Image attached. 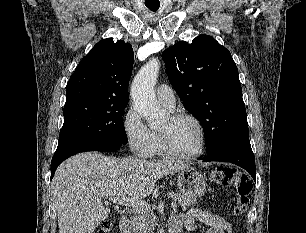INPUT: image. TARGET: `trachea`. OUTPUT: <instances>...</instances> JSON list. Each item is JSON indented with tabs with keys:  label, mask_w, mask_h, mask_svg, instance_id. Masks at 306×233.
Here are the masks:
<instances>
[{
	"label": "trachea",
	"mask_w": 306,
	"mask_h": 233,
	"mask_svg": "<svg viewBox=\"0 0 306 233\" xmlns=\"http://www.w3.org/2000/svg\"><path fill=\"white\" fill-rule=\"evenodd\" d=\"M145 5L153 12H156L160 7V4H145Z\"/></svg>",
	"instance_id": "obj_1"
}]
</instances>
